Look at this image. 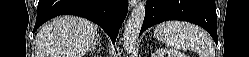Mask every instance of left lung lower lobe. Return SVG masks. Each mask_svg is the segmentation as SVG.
Listing matches in <instances>:
<instances>
[{"mask_svg":"<svg viewBox=\"0 0 249 57\" xmlns=\"http://www.w3.org/2000/svg\"><path fill=\"white\" fill-rule=\"evenodd\" d=\"M167 20L195 23L206 29L218 43L214 0H147L139 36L147 28Z\"/></svg>","mask_w":249,"mask_h":57,"instance_id":"0a47b994","label":"left lung lower lobe"}]
</instances>
